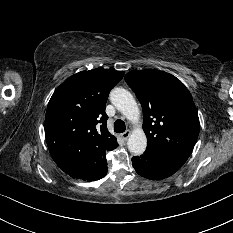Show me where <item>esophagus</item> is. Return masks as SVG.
Returning <instances> with one entry per match:
<instances>
[{
	"label": "esophagus",
	"mask_w": 233,
	"mask_h": 233,
	"mask_svg": "<svg viewBox=\"0 0 233 233\" xmlns=\"http://www.w3.org/2000/svg\"><path fill=\"white\" fill-rule=\"evenodd\" d=\"M131 132L129 130H126L124 133L121 134V137L124 139V140H127L130 136Z\"/></svg>",
	"instance_id": "obj_1"
}]
</instances>
